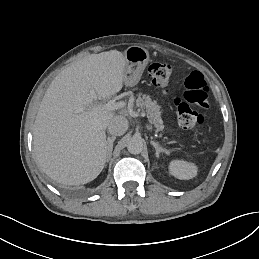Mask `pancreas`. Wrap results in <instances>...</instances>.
I'll use <instances>...</instances> for the list:
<instances>
[{
    "mask_svg": "<svg viewBox=\"0 0 259 259\" xmlns=\"http://www.w3.org/2000/svg\"><path fill=\"white\" fill-rule=\"evenodd\" d=\"M136 105L140 108L145 109L149 122L151 124H154L157 131H161L164 129L160 106L157 105L156 101H152L150 96L145 94L142 95L140 93L136 100Z\"/></svg>",
    "mask_w": 259,
    "mask_h": 259,
    "instance_id": "obj_1",
    "label": "pancreas"
}]
</instances>
